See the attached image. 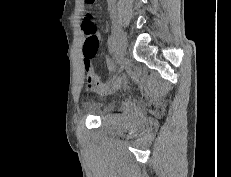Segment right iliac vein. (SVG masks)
<instances>
[{
  "mask_svg": "<svg viewBox=\"0 0 231 177\" xmlns=\"http://www.w3.org/2000/svg\"><path fill=\"white\" fill-rule=\"evenodd\" d=\"M111 18L113 20L114 27H115V56H116L117 62L121 64L123 61L125 47H126L125 37L121 29L117 25L115 15L113 13L111 14Z\"/></svg>",
  "mask_w": 231,
  "mask_h": 177,
  "instance_id": "obj_1",
  "label": "right iliac vein"
}]
</instances>
